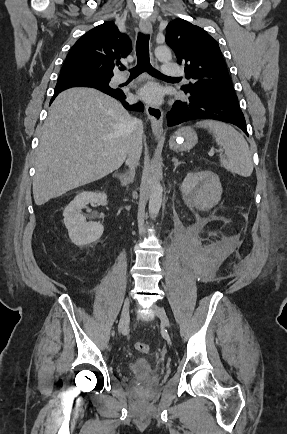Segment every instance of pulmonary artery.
Listing matches in <instances>:
<instances>
[{
  "instance_id": "1",
  "label": "pulmonary artery",
  "mask_w": 287,
  "mask_h": 434,
  "mask_svg": "<svg viewBox=\"0 0 287 434\" xmlns=\"http://www.w3.org/2000/svg\"><path fill=\"white\" fill-rule=\"evenodd\" d=\"M163 74L166 76L177 77L182 76L184 74V71L179 65L165 63L163 64ZM126 81L127 77L124 74H120L116 77L117 83H124Z\"/></svg>"
}]
</instances>
